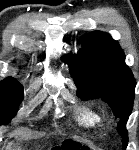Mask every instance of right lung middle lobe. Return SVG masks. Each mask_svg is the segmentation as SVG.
Wrapping results in <instances>:
<instances>
[{"mask_svg":"<svg viewBox=\"0 0 139 150\" xmlns=\"http://www.w3.org/2000/svg\"><path fill=\"white\" fill-rule=\"evenodd\" d=\"M0 125H5L18 111L23 98V86L14 78L8 77L0 82Z\"/></svg>","mask_w":139,"mask_h":150,"instance_id":"obj_1","label":"right lung middle lobe"}]
</instances>
